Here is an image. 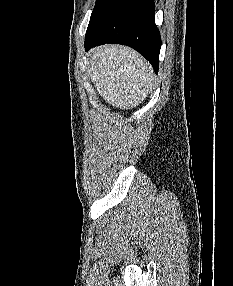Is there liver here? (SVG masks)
Returning <instances> with one entry per match:
<instances>
[{"instance_id":"liver-1","label":"liver","mask_w":233,"mask_h":286,"mask_svg":"<svg viewBox=\"0 0 233 286\" xmlns=\"http://www.w3.org/2000/svg\"><path fill=\"white\" fill-rule=\"evenodd\" d=\"M89 74L101 97L120 109L138 106L152 89L154 73L133 49L105 45L90 54Z\"/></svg>"}]
</instances>
